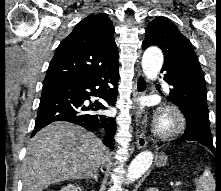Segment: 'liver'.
I'll list each match as a JSON object with an SVG mask.
<instances>
[{
  "mask_svg": "<svg viewBox=\"0 0 221 191\" xmlns=\"http://www.w3.org/2000/svg\"><path fill=\"white\" fill-rule=\"evenodd\" d=\"M108 158L107 148L93 133L68 122H54L27 146L23 191H42L61 181L89 177Z\"/></svg>",
  "mask_w": 221,
  "mask_h": 191,
  "instance_id": "obj_1",
  "label": "liver"
}]
</instances>
